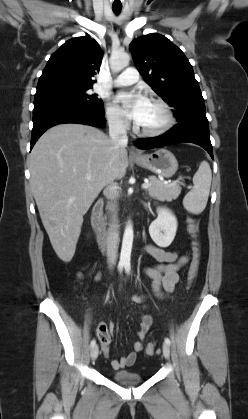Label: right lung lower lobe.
<instances>
[{"mask_svg": "<svg viewBox=\"0 0 248 419\" xmlns=\"http://www.w3.org/2000/svg\"><path fill=\"white\" fill-rule=\"evenodd\" d=\"M104 112L73 102H50L34 105L31 148L50 127L62 123H80L101 127L106 123Z\"/></svg>", "mask_w": 248, "mask_h": 419, "instance_id": "98d812e1", "label": "right lung lower lobe"}]
</instances>
